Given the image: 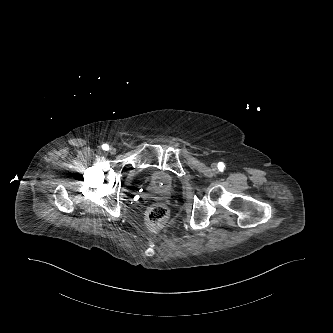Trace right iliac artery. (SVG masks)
Segmentation results:
<instances>
[{
    "label": "right iliac artery",
    "instance_id": "82829eb1",
    "mask_svg": "<svg viewBox=\"0 0 333 333\" xmlns=\"http://www.w3.org/2000/svg\"><path fill=\"white\" fill-rule=\"evenodd\" d=\"M102 149L105 150V151L109 150V145L108 144H103Z\"/></svg>",
    "mask_w": 333,
    "mask_h": 333
}]
</instances>
